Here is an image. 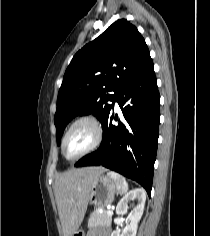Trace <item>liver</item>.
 I'll return each instance as SVG.
<instances>
[{"instance_id":"liver-1","label":"liver","mask_w":210,"mask_h":236,"mask_svg":"<svg viewBox=\"0 0 210 236\" xmlns=\"http://www.w3.org/2000/svg\"><path fill=\"white\" fill-rule=\"evenodd\" d=\"M104 171L103 167H84L72 169L56 178L54 192L63 236H72L80 227L92 182Z\"/></svg>"}]
</instances>
